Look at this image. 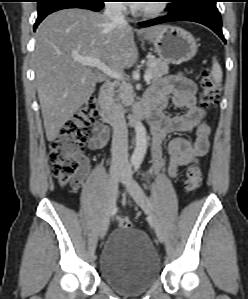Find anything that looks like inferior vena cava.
Masks as SVG:
<instances>
[{"mask_svg": "<svg viewBox=\"0 0 248 299\" xmlns=\"http://www.w3.org/2000/svg\"><path fill=\"white\" fill-rule=\"evenodd\" d=\"M125 7L118 2L106 4L104 15L114 24L126 25L123 15ZM112 166L125 167L128 165V130L125 121L124 109L120 103H116L112 110Z\"/></svg>", "mask_w": 248, "mask_h": 299, "instance_id": "inferior-vena-cava-1", "label": "inferior vena cava"}]
</instances>
